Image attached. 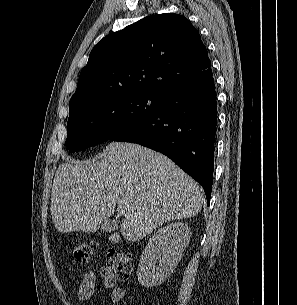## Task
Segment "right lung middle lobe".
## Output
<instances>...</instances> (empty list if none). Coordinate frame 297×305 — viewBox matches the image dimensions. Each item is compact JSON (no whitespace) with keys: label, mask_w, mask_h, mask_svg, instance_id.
Masks as SVG:
<instances>
[{"label":"right lung middle lobe","mask_w":297,"mask_h":305,"mask_svg":"<svg viewBox=\"0 0 297 305\" xmlns=\"http://www.w3.org/2000/svg\"><path fill=\"white\" fill-rule=\"evenodd\" d=\"M162 95L152 92H128L102 98L70 112L66 146L78 152L110 140L151 114Z\"/></svg>","instance_id":"right-lung-middle-lobe-1"}]
</instances>
